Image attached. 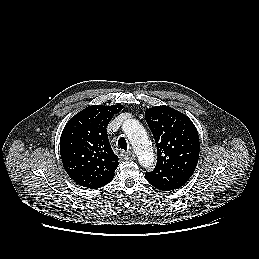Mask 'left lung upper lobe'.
Returning a JSON list of instances; mask_svg holds the SVG:
<instances>
[{
    "instance_id": "obj_1",
    "label": "left lung upper lobe",
    "mask_w": 259,
    "mask_h": 259,
    "mask_svg": "<svg viewBox=\"0 0 259 259\" xmlns=\"http://www.w3.org/2000/svg\"><path fill=\"white\" fill-rule=\"evenodd\" d=\"M145 118L157 147L154 170H168L189 180L200 152L199 136L193 122L169 106L149 108Z\"/></svg>"
}]
</instances>
